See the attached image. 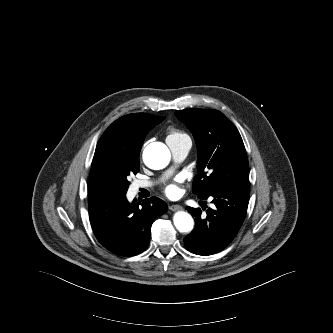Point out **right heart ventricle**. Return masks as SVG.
Masks as SVG:
<instances>
[{
    "mask_svg": "<svg viewBox=\"0 0 333 333\" xmlns=\"http://www.w3.org/2000/svg\"><path fill=\"white\" fill-rule=\"evenodd\" d=\"M166 140H167V142H190L191 143L190 136L175 127H170L168 129Z\"/></svg>",
    "mask_w": 333,
    "mask_h": 333,
    "instance_id": "1",
    "label": "right heart ventricle"
}]
</instances>
